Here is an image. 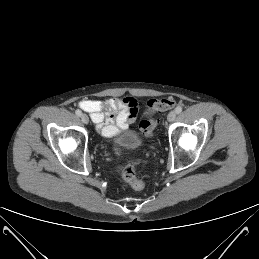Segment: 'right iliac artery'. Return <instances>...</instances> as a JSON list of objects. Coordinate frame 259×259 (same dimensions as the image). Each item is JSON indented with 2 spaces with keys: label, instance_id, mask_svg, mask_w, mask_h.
Returning a JSON list of instances; mask_svg holds the SVG:
<instances>
[{
  "label": "right iliac artery",
  "instance_id": "right-iliac-artery-1",
  "mask_svg": "<svg viewBox=\"0 0 259 259\" xmlns=\"http://www.w3.org/2000/svg\"><path fill=\"white\" fill-rule=\"evenodd\" d=\"M75 113H76V115L79 116V117L82 115V112H81V110H79V109H77V110L75 111Z\"/></svg>",
  "mask_w": 259,
  "mask_h": 259
}]
</instances>
